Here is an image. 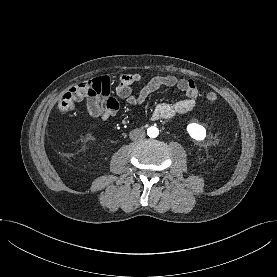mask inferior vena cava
<instances>
[{
	"label": "inferior vena cava",
	"instance_id": "inferior-vena-cava-1",
	"mask_svg": "<svg viewBox=\"0 0 277 277\" xmlns=\"http://www.w3.org/2000/svg\"><path fill=\"white\" fill-rule=\"evenodd\" d=\"M132 141H137L145 138L146 134L143 129H134L129 134Z\"/></svg>",
	"mask_w": 277,
	"mask_h": 277
}]
</instances>
